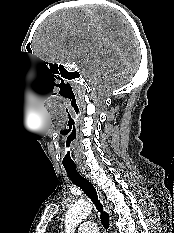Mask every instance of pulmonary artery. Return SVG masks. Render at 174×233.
Instances as JSON below:
<instances>
[{
  "label": "pulmonary artery",
  "instance_id": "e3ab8cb5",
  "mask_svg": "<svg viewBox=\"0 0 174 233\" xmlns=\"http://www.w3.org/2000/svg\"><path fill=\"white\" fill-rule=\"evenodd\" d=\"M79 233H99L97 224L93 221H86L78 227Z\"/></svg>",
  "mask_w": 174,
  "mask_h": 233
}]
</instances>
